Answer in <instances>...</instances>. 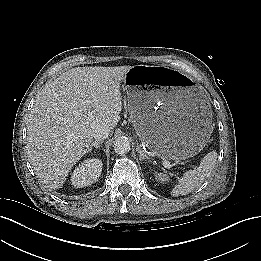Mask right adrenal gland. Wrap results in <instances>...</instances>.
<instances>
[{"mask_svg":"<svg viewBox=\"0 0 261 261\" xmlns=\"http://www.w3.org/2000/svg\"><path fill=\"white\" fill-rule=\"evenodd\" d=\"M100 144H102V141H101V140L94 141V142L91 144V146H90V148H89L88 151L91 152V150H92L93 147L96 148V149L100 148Z\"/></svg>","mask_w":261,"mask_h":261,"instance_id":"obj_1","label":"right adrenal gland"}]
</instances>
